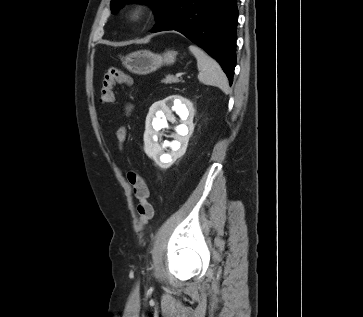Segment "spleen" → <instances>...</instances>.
<instances>
[{"mask_svg":"<svg viewBox=\"0 0 363 317\" xmlns=\"http://www.w3.org/2000/svg\"><path fill=\"white\" fill-rule=\"evenodd\" d=\"M189 50L197 59L199 81L207 85L217 86L224 93H229L228 79L219 63L195 45H190Z\"/></svg>","mask_w":363,"mask_h":317,"instance_id":"obj_1","label":"spleen"}]
</instances>
